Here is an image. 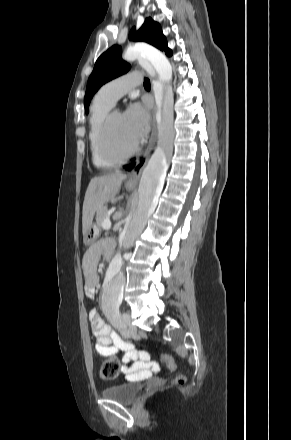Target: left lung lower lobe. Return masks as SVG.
Segmentation results:
<instances>
[{"label": "left lung lower lobe", "instance_id": "left-lung-lower-lobe-1", "mask_svg": "<svg viewBox=\"0 0 291 440\" xmlns=\"http://www.w3.org/2000/svg\"><path fill=\"white\" fill-rule=\"evenodd\" d=\"M134 166H135V163H132V164H130V165H126V166H124V168H125L126 170H131L132 168H134Z\"/></svg>", "mask_w": 291, "mask_h": 440}]
</instances>
